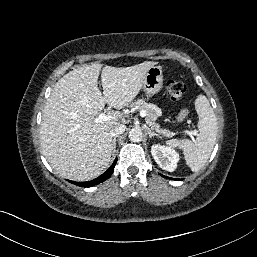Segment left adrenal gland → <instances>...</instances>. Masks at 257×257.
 <instances>
[{
    "label": "left adrenal gland",
    "mask_w": 257,
    "mask_h": 257,
    "mask_svg": "<svg viewBox=\"0 0 257 257\" xmlns=\"http://www.w3.org/2000/svg\"><path fill=\"white\" fill-rule=\"evenodd\" d=\"M147 133H148L150 138H152L153 136H157V137L161 138V136L159 134H156L155 132H152L149 128H147Z\"/></svg>",
    "instance_id": "1"
}]
</instances>
